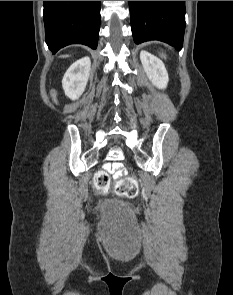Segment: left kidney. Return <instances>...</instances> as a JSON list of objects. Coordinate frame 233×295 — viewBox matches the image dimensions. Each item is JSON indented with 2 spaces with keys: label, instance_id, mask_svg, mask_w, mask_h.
I'll return each mask as SVG.
<instances>
[{
  "label": "left kidney",
  "instance_id": "5707ae66",
  "mask_svg": "<svg viewBox=\"0 0 233 295\" xmlns=\"http://www.w3.org/2000/svg\"><path fill=\"white\" fill-rule=\"evenodd\" d=\"M140 60L146 75L151 80L153 85L159 89H165L167 87L169 77L164 63L159 58L145 50L141 51Z\"/></svg>",
  "mask_w": 233,
  "mask_h": 295
}]
</instances>
